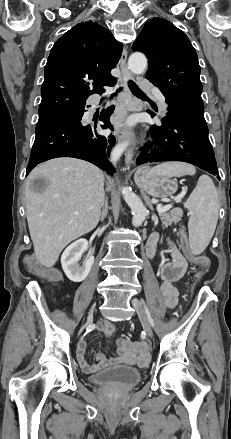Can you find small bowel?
Listing matches in <instances>:
<instances>
[{
	"mask_svg": "<svg viewBox=\"0 0 231 439\" xmlns=\"http://www.w3.org/2000/svg\"><path fill=\"white\" fill-rule=\"evenodd\" d=\"M159 240L160 237L157 233L150 236L146 247L147 255L150 258L155 256ZM166 243L167 252L171 259L160 266L159 276L162 280L161 293L165 303L168 308L173 309L178 302V290L175 283L184 275L187 269V260L171 240L168 239ZM98 330L106 336H110L114 333L115 328L111 322L105 321L99 324ZM116 344L117 349L114 357L107 359L100 353L97 355V363L91 365L85 358L86 342H80L77 347V360L82 370L86 373H93L110 365H144L147 363L149 356L145 342L118 338Z\"/></svg>",
	"mask_w": 231,
	"mask_h": 439,
	"instance_id": "1",
	"label": "small bowel"
}]
</instances>
